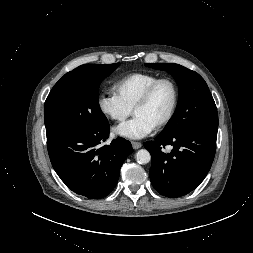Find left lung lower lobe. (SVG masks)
<instances>
[{"instance_id": "obj_1", "label": "left lung lower lobe", "mask_w": 253, "mask_h": 253, "mask_svg": "<svg viewBox=\"0 0 253 253\" xmlns=\"http://www.w3.org/2000/svg\"><path fill=\"white\" fill-rule=\"evenodd\" d=\"M217 132L187 130L170 137L158 135L144 147L150 152V179L153 187L167 197H180L193 191L208 174L216 150ZM172 145L170 153L162 147Z\"/></svg>"}]
</instances>
